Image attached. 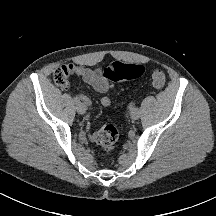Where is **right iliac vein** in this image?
Here are the masks:
<instances>
[{
	"mask_svg": "<svg viewBox=\"0 0 216 216\" xmlns=\"http://www.w3.org/2000/svg\"><path fill=\"white\" fill-rule=\"evenodd\" d=\"M77 112L79 114H84L87 110L86 106L84 103L79 102L76 106Z\"/></svg>",
	"mask_w": 216,
	"mask_h": 216,
	"instance_id": "obj_1",
	"label": "right iliac vein"
}]
</instances>
